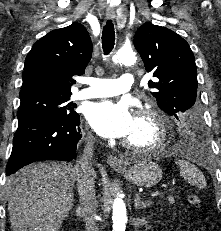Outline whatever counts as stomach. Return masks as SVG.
<instances>
[{"mask_svg":"<svg viewBox=\"0 0 221 231\" xmlns=\"http://www.w3.org/2000/svg\"><path fill=\"white\" fill-rule=\"evenodd\" d=\"M115 170L123 174L124 178L130 183L145 188L157 185L163 174L158 164L151 160H142L128 168H116Z\"/></svg>","mask_w":221,"mask_h":231,"instance_id":"obj_1","label":"stomach"}]
</instances>
